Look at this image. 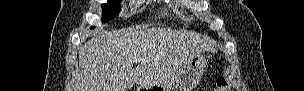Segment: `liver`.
<instances>
[{
	"label": "liver",
	"mask_w": 304,
	"mask_h": 91,
	"mask_svg": "<svg viewBox=\"0 0 304 91\" xmlns=\"http://www.w3.org/2000/svg\"><path fill=\"white\" fill-rule=\"evenodd\" d=\"M97 31L79 49V75L74 91H128L135 84H164L195 55L214 51L208 39L168 28H130L110 34ZM141 57L136 68L133 59Z\"/></svg>",
	"instance_id": "1"
}]
</instances>
